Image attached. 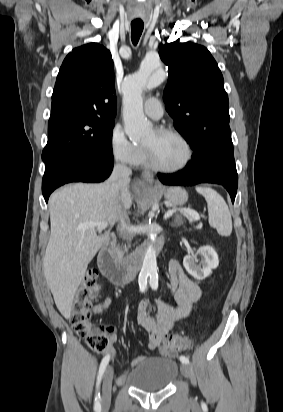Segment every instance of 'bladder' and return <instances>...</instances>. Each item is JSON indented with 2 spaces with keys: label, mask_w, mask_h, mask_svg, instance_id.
<instances>
[{
  "label": "bladder",
  "mask_w": 283,
  "mask_h": 412,
  "mask_svg": "<svg viewBox=\"0 0 283 412\" xmlns=\"http://www.w3.org/2000/svg\"><path fill=\"white\" fill-rule=\"evenodd\" d=\"M178 373L179 367L174 360L147 359L127 374L126 381L128 385L139 390L161 391L176 380Z\"/></svg>",
  "instance_id": "obj_1"
}]
</instances>
